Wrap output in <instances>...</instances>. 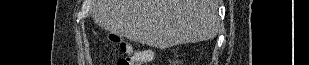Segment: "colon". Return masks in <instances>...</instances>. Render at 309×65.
<instances>
[{"label": "colon", "instance_id": "1", "mask_svg": "<svg viewBox=\"0 0 309 65\" xmlns=\"http://www.w3.org/2000/svg\"><path fill=\"white\" fill-rule=\"evenodd\" d=\"M119 47L122 56L118 61V65H141L152 55L150 51L135 50L130 44L125 42H119Z\"/></svg>", "mask_w": 309, "mask_h": 65}]
</instances>
